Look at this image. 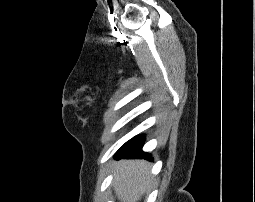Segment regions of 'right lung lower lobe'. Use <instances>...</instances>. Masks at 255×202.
I'll use <instances>...</instances> for the list:
<instances>
[{"label":"right lung lower lobe","instance_id":"right-lung-lower-lobe-1","mask_svg":"<svg viewBox=\"0 0 255 202\" xmlns=\"http://www.w3.org/2000/svg\"><path fill=\"white\" fill-rule=\"evenodd\" d=\"M144 143L143 136H136L126 142L115 154V158H146L152 160L150 154L141 150Z\"/></svg>","mask_w":255,"mask_h":202}]
</instances>
